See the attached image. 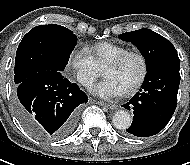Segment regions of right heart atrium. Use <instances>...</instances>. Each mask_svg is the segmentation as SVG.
<instances>
[{
	"label": "right heart atrium",
	"instance_id": "d8ad5b80",
	"mask_svg": "<svg viewBox=\"0 0 190 165\" xmlns=\"http://www.w3.org/2000/svg\"><path fill=\"white\" fill-rule=\"evenodd\" d=\"M68 67L76 80L85 87L91 86L99 75V67L87 48L73 50L68 58Z\"/></svg>",
	"mask_w": 190,
	"mask_h": 165
}]
</instances>
